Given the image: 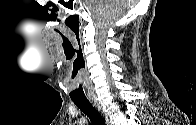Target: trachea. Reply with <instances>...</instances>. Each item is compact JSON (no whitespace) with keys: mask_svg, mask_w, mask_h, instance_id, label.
I'll list each match as a JSON object with an SVG mask.
<instances>
[{"mask_svg":"<svg viewBox=\"0 0 196 125\" xmlns=\"http://www.w3.org/2000/svg\"><path fill=\"white\" fill-rule=\"evenodd\" d=\"M74 104L89 117L93 125H105L100 113L91 105L89 100H73Z\"/></svg>","mask_w":196,"mask_h":125,"instance_id":"trachea-1","label":"trachea"}]
</instances>
